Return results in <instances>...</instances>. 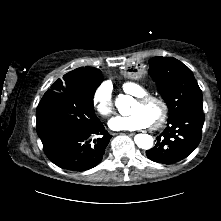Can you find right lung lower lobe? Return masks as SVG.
I'll list each match as a JSON object with an SVG mask.
<instances>
[{"label":"right lung lower lobe","mask_w":221,"mask_h":221,"mask_svg":"<svg viewBox=\"0 0 221 221\" xmlns=\"http://www.w3.org/2000/svg\"><path fill=\"white\" fill-rule=\"evenodd\" d=\"M111 137L99 121L88 130L75 132L44 147V152L50 161L63 169L86 171L102 160Z\"/></svg>","instance_id":"98d812e1"}]
</instances>
